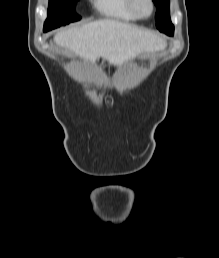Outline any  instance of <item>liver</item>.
<instances>
[{
    "mask_svg": "<svg viewBox=\"0 0 219 258\" xmlns=\"http://www.w3.org/2000/svg\"><path fill=\"white\" fill-rule=\"evenodd\" d=\"M54 41L87 61L95 63L102 57L113 65H122L163 43L152 33L110 19L61 31Z\"/></svg>",
    "mask_w": 219,
    "mask_h": 258,
    "instance_id": "obj_1",
    "label": "liver"
}]
</instances>
